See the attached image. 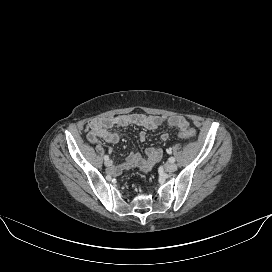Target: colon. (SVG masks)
I'll list each match as a JSON object with an SVG mask.
<instances>
[{"instance_id": "colon-1", "label": "colon", "mask_w": 272, "mask_h": 272, "mask_svg": "<svg viewBox=\"0 0 272 272\" xmlns=\"http://www.w3.org/2000/svg\"><path fill=\"white\" fill-rule=\"evenodd\" d=\"M179 136L183 139H192L196 136V132L193 129H184L179 132Z\"/></svg>"}]
</instances>
